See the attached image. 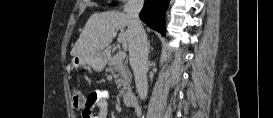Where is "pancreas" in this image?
<instances>
[{
	"label": "pancreas",
	"mask_w": 273,
	"mask_h": 118,
	"mask_svg": "<svg viewBox=\"0 0 273 118\" xmlns=\"http://www.w3.org/2000/svg\"><path fill=\"white\" fill-rule=\"evenodd\" d=\"M107 72H111L115 78V83L117 85L120 94H126L131 92V72L124 61V58H120L117 55L112 56L109 59Z\"/></svg>",
	"instance_id": "obj_1"
}]
</instances>
